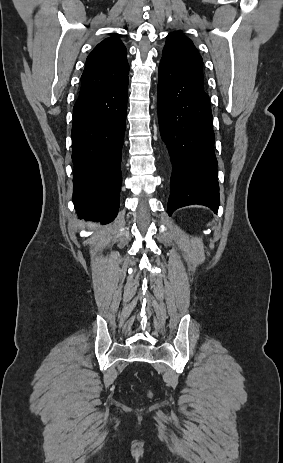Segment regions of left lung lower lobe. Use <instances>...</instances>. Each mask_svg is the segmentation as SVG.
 Wrapping results in <instances>:
<instances>
[{
    "label": "left lung lower lobe",
    "mask_w": 283,
    "mask_h": 463,
    "mask_svg": "<svg viewBox=\"0 0 283 463\" xmlns=\"http://www.w3.org/2000/svg\"><path fill=\"white\" fill-rule=\"evenodd\" d=\"M158 119L172 164L167 212L199 204L217 212L219 186L208 94L161 60Z\"/></svg>",
    "instance_id": "0a47b994"
}]
</instances>
